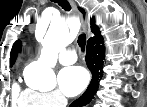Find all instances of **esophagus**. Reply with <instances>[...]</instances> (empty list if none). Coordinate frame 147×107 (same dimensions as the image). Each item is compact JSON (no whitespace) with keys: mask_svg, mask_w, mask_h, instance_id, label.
I'll list each match as a JSON object with an SVG mask.
<instances>
[{"mask_svg":"<svg viewBox=\"0 0 147 107\" xmlns=\"http://www.w3.org/2000/svg\"><path fill=\"white\" fill-rule=\"evenodd\" d=\"M68 1H69L70 5H71V7H72L73 13L75 14V16H76L79 20H81L82 28H83V30L86 32V31L88 30V27H89V26H88V21H87V19H84V18H83L82 14H81V12L78 10L77 5H76V3H75L74 0H68Z\"/></svg>","mask_w":147,"mask_h":107,"instance_id":"1","label":"esophagus"}]
</instances>
